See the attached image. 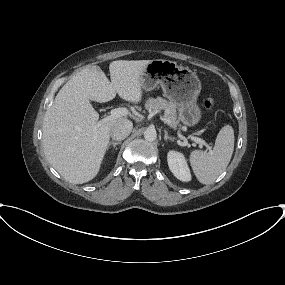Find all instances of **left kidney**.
Here are the masks:
<instances>
[{
	"mask_svg": "<svg viewBox=\"0 0 285 285\" xmlns=\"http://www.w3.org/2000/svg\"><path fill=\"white\" fill-rule=\"evenodd\" d=\"M167 161L170 171L177 179L186 182L191 180V173L182 153L177 151H169Z\"/></svg>",
	"mask_w": 285,
	"mask_h": 285,
	"instance_id": "left-kidney-1",
	"label": "left kidney"
}]
</instances>
